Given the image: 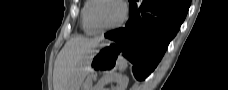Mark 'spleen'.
Here are the masks:
<instances>
[{
	"instance_id": "spleen-1",
	"label": "spleen",
	"mask_w": 228,
	"mask_h": 90,
	"mask_svg": "<svg viewBox=\"0 0 228 90\" xmlns=\"http://www.w3.org/2000/svg\"><path fill=\"white\" fill-rule=\"evenodd\" d=\"M127 65H128V64H127V61L121 57V59H120V61H119V63H118V68H119V70H120V71L125 70L126 67H127Z\"/></svg>"
}]
</instances>
